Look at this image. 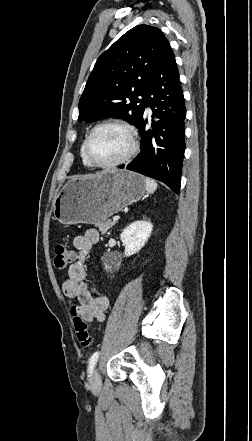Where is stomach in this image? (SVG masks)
<instances>
[{
	"mask_svg": "<svg viewBox=\"0 0 252 441\" xmlns=\"http://www.w3.org/2000/svg\"><path fill=\"white\" fill-rule=\"evenodd\" d=\"M145 179L125 170H108L70 179L53 200V215L65 225L104 222L145 193Z\"/></svg>",
	"mask_w": 252,
	"mask_h": 441,
	"instance_id": "stomach-1",
	"label": "stomach"
}]
</instances>
